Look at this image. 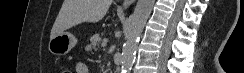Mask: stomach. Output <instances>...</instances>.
<instances>
[{
  "label": "stomach",
  "mask_w": 244,
  "mask_h": 73,
  "mask_svg": "<svg viewBox=\"0 0 244 73\" xmlns=\"http://www.w3.org/2000/svg\"><path fill=\"white\" fill-rule=\"evenodd\" d=\"M76 44L77 39L73 34L63 32L50 39L48 49L53 55L62 56L69 53Z\"/></svg>",
  "instance_id": "1"
}]
</instances>
